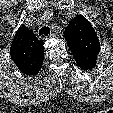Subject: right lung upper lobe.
<instances>
[{"label":"right lung upper lobe","mask_w":113,"mask_h":113,"mask_svg":"<svg viewBox=\"0 0 113 113\" xmlns=\"http://www.w3.org/2000/svg\"><path fill=\"white\" fill-rule=\"evenodd\" d=\"M44 43L36 38L33 31L21 26L12 41L10 55L18 69L26 75H35L42 66Z\"/></svg>","instance_id":"cb5924a9"}]
</instances>
